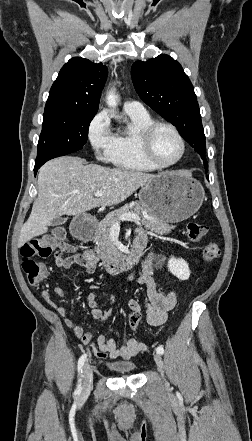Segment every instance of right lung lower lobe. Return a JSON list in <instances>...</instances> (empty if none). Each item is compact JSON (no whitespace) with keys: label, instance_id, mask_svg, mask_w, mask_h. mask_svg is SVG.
Returning a JSON list of instances; mask_svg holds the SVG:
<instances>
[{"label":"right lung lower lobe","instance_id":"obj_1","mask_svg":"<svg viewBox=\"0 0 252 441\" xmlns=\"http://www.w3.org/2000/svg\"><path fill=\"white\" fill-rule=\"evenodd\" d=\"M43 164H44V163L35 164V167H34V174H35V175H36L38 169H39Z\"/></svg>","mask_w":252,"mask_h":441}]
</instances>
